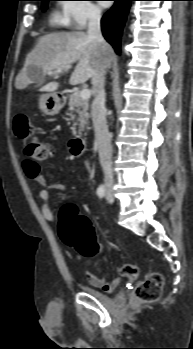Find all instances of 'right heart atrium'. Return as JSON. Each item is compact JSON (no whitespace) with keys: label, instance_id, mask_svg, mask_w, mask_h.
Here are the masks:
<instances>
[{"label":"right heart atrium","instance_id":"obj_1","mask_svg":"<svg viewBox=\"0 0 193 349\" xmlns=\"http://www.w3.org/2000/svg\"><path fill=\"white\" fill-rule=\"evenodd\" d=\"M61 8L66 23L75 29L85 28L102 15L100 7L91 0H64Z\"/></svg>","mask_w":193,"mask_h":349}]
</instances>
